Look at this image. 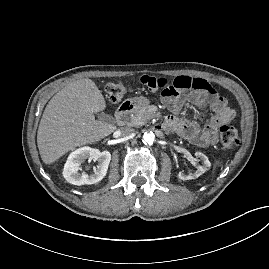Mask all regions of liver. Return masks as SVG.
I'll return each mask as SVG.
<instances>
[{
  "instance_id": "1",
  "label": "liver",
  "mask_w": 269,
  "mask_h": 269,
  "mask_svg": "<svg viewBox=\"0 0 269 269\" xmlns=\"http://www.w3.org/2000/svg\"><path fill=\"white\" fill-rule=\"evenodd\" d=\"M106 101L95 82L85 78L69 83L48 102L41 118L37 144L42 161L52 164L76 147L92 144L116 130L95 119Z\"/></svg>"
}]
</instances>
